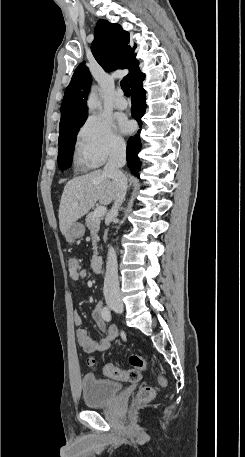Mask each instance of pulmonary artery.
Listing matches in <instances>:
<instances>
[{"label":"pulmonary artery","mask_w":245,"mask_h":457,"mask_svg":"<svg viewBox=\"0 0 245 457\" xmlns=\"http://www.w3.org/2000/svg\"><path fill=\"white\" fill-rule=\"evenodd\" d=\"M127 104H128L127 100L122 96V91L118 90L116 92V98L114 101L115 108H117L119 110H123V109H126Z\"/></svg>","instance_id":"e3ab8cb5"}]
</instances>
